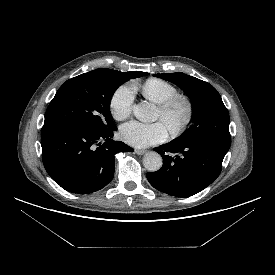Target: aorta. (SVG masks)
I'll return each mask as SVG.
<instances>
[{
    "instance_id": "762f6f07",
    "label": "aorta",
    "mask_w": 275,
    "mask_h": 275,
    "mask_svg": "<svg viewBox=\"0 0 275 275\" xmlns=\"http://www.w3.org/2000/svg\"><path fill=\"white\" fill-rule=\"evenodd\" d=\"M133 113L138 120L147 122L153 120L155 108L150 103H139L134 106ZM143 164L148 171L155 172L162 167L163 160L159 153L151 151L145 154Z\"/></svg>"
}]
</instances>
